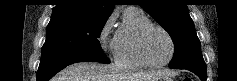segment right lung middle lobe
<instances>
[{
	"mask_svg": "<svg viewBox=\"0 0 237 81\" xmlns=\"http://www.w3.org/2000/svg\"><path fill=\"white\" fill-rule=\"evenodd\" d=\"M107 19L69 16L51 19L42 47L44 56L106 57L98 38Z\"/></svg>",
	"mask_w": 237,
	"mask_h": 81,
	"instance_id": "obj_1",
	"label": "right lung middle lobe"
}]
</instances>
